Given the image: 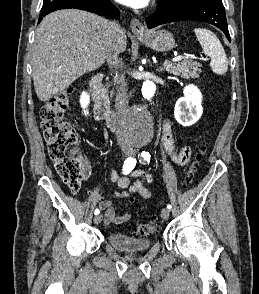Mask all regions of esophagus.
I'll list each match as a JSON object with an SVG mask.
<instances>
[{
	"mask_svg": "<svg viewBox=\"0 0 259 294\" xmlns=\"http://www.w3.org/2000/svg\"><path fill=\"white\" fill-rule=\"evenodd\" d=\"M130 28H131L132 32L136 36H144V35H146V32H147L146 27L138 19H132L131 20Z\"/></svg>",
	"mask_w": 259,
	"mask_h": 294,
	"instance_id": "esophagus-1",
	"label": "esophagus"
}]
</instances>
